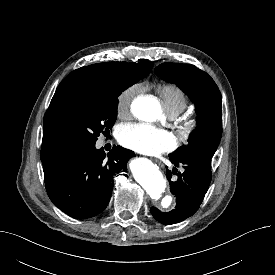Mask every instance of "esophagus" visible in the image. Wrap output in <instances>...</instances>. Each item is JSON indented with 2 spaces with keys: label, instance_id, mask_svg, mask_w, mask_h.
<instances>
[{
  "label": "esophagus",
  "instance_id": "34e87169",
  "mask_svg": "<svg viewBox=\"0 0 275 275\" xmlns=\"http://www.w3.org/2000/svg\"><path fill=\"white\" fill-rule=\"evenodd\" d=\"M154 161H155L159 166H161V167L163 166V164H162V162H161L160 160L155 159Z\"/></svg>",
  "mask_w": 275,
  "mask_h": 275
}]
</instances>
